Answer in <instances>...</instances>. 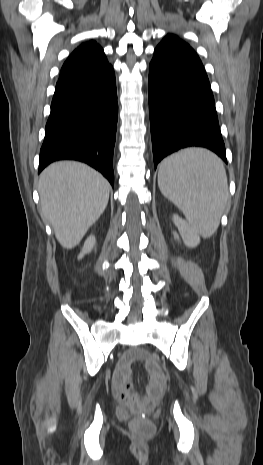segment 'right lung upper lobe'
Here are the masks:
<instances>
[{"mask_svg":"<svg viewBox=\"0 0 263 465\" xmlns=\"http://www.w3.org/2000/svg\"><path fill=\"white\" fill-rule=\"evenodd\" d=\"M103 49L94 41L81 44L62 66L59 80L101 72L108 68Z\"/></svg>","mask_w":263,"mask_h":465,"instance_id":"right-lung-upper-lobe-1","label":"right lung upper lobe"}]
</instances>
